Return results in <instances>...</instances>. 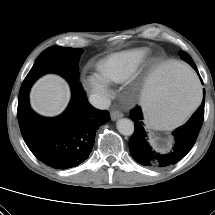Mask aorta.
<instances>
[{
    "label": "aorta",
    "instance_id": "1",
    "mask_svg": "<svg viewBox=\"0 0 215 215\" xmlns=\"http://www.w3.org/2000/svg\"><path fill=\"white\" fill-rule=\"evenodd\" d=\"M119 133L125 136H130L134 133V123L127 118H121L116 123Z\"/></svg>",
    "mask_w": 215,
    "mask_h": 215
}]
</instances>
